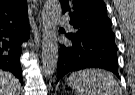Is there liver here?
Returning <instances> with one entry per match:
<instances>
[{
	"label": "liver",
	"mask_w": 135,
	"mask_h": 95,
	"mask_svg": "<svg viewBox=\"0 0 135 95\" xmlns=\"http://www.w3.org/2000/svg\"><path fill=\"white\" fill-rule=\"evenodd\" d=\"M20 82L10 72L0 69V95H19Z\"/></svg>",
	"instance_id": "6515ba94"
}]
</instances>
